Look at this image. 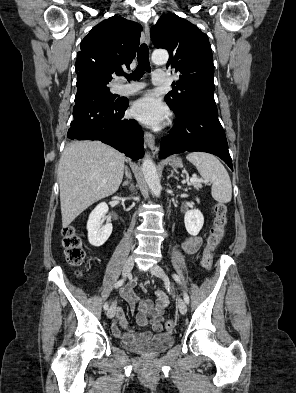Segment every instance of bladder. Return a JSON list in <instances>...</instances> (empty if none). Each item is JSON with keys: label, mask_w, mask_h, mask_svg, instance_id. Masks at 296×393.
Wrapping results in <instances>:
<instances>
[{"label": "bladder", "mask_w": 296, "mask_h": 393, "mask_svg": "<svg viewBox=\"0 0 296 393\" xmlns=\"http://www.w3.org/2000/svg\"><path fill=\"white\" fill-rule=\"evenodd\" d=\"M174 344V336L170 334H156L143 342L124 343L126 349L143 356L160 354Z\"/></svg>", "instance_id": "obj_1"}]
</instances>
